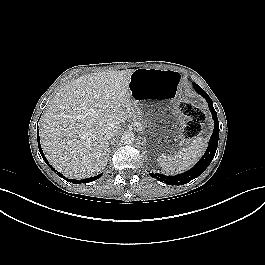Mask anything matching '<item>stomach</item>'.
Segmentation results:
<instances>
[{"instance_id":"0dacf381","label":"stomach","mask_w":265,"mask_h":265,"mask_svg":"<svg viewBox=\"0 0 265 265\" xmlns=\"http://www.w3.org/2000/svg\"><path fill=\"white\" fill-rule=\"evenodd\" d=\"M180 74L172 70L136 69L129 90L136 109L139 147L146 161L161 165L170 160L182 139V123L174 106Z\"/></svg>"}]
</instances>
